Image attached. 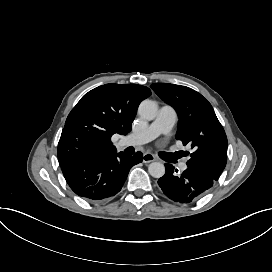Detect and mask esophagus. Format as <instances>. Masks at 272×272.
Listing matches in <instances>:
<instances>
[{
    "label": "esophagus",
    "mask_w": 272,
    "mask_h": 272,
    "mask_svg": "<svg viewBox=\"0 0 272 272\" xmlns=\"http://www.w3.org/2000/svg\"><path fill=\"white\" fill-rule=\"evenodd\" d=\"M156 160H157L156 156L152 153H149V152L144 153L142 156V161L144 163H150V162L156 161Z\"/></svg>",
    "instance_id": "1"
}]
</instances>
